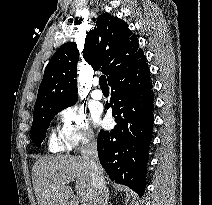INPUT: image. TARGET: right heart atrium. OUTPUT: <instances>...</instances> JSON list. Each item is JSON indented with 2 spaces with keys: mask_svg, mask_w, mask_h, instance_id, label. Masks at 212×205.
<instances>
[{
  "mask_svg": "<svg viewBox=\"0 0 212 205\" xmlns=\"http://www.w3.org/2000/svg\"><path fill=\"white\" fill-rule=\"evenodd\" d=\"M57 133L60 141L68 149H76L81 144L94 141L88 118L83 109L69 105L58 113Z\"/></svg>",
  "mask_w": 212,
  "mask_h": 205,
  "instance_id": "obj_1",
  "label": "right heart atrium"
}]
</instances>
